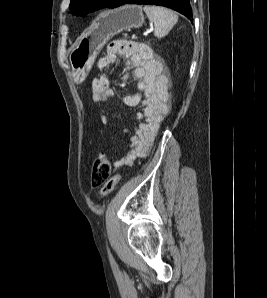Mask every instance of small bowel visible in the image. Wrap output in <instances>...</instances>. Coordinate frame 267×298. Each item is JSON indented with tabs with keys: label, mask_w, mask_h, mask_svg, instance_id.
Here are the masks:
<instances>
[{
	"label": "small bowel",
	"mask_w": 267,
	"mask_h": 298,
	"mask_svg": "<svg viewBox=\"0 0 267 298\" xmlns=\"http://www.w3.org/2000/svg\"><path fill=\"white\" fill-rule=\"evenodd\" d=\"M117 58H122L126 62L122 86H125L130 74L137 82L138 91L126 95L124 103L130 107L141 106L142 111L136 115L138 124L132 132L129 151L114 162L116 168L121 165H132L136 158L146 156L161 123L170 111V73L161 59L144 44L118 40L110 43L106 54L99 59V69L106 70ZM91 92L95 103H108L114 95L111 77L102 74L93 78ZM111 121L110 115L102 116L105 125H110Z\"/></svg>",
	"instance_id": "1"
}]
</instances>
